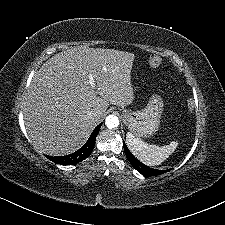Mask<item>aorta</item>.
<instances>
[{"label":"aorta","mask_w":225,"mask_h":225,"mask_svg":"<svg viewBox=\"0 0 225 225\" xmlns=\"http://www.w3.org/2000/svg\"><path fill=\"white\" fill-rule=\"evenodd\" d=\"M107 128L113 129L119 126V119L115 115H108L105 119Z\"/></svg>","instance_id":"1"}]
</instances>
